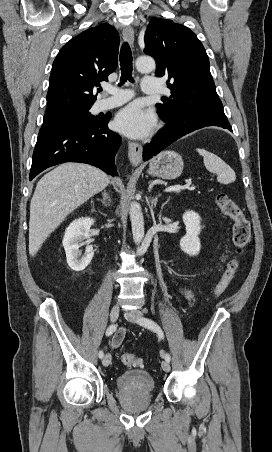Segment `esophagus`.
Wrapping results in <instances>:
<instances>
[{
  "mask_svg": "<svg viewBox=\"0 0 272 452\" xmlns=\"http://www.w3.org/2000/svg\"><path fill=\"white\" fill-rule=\"evenodd\" d=\"M123 37L131 45L134 43V30L131 27L123 28ZM128 157L133 166H138L142 159V146L137 142L128 143Z\"/></svg>",
  "mask_w": 272,
  "mask_h": 452,
  "instance_id": "esophagus-1",
  "label": "esophagus"
}]
</instances>
